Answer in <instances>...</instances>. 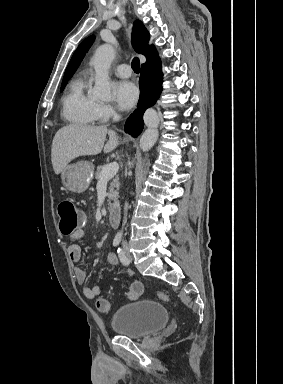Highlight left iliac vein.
Segmentation results:
<instances>
[{
	"mask_svg": "<svg viewBox=\"0 0 283 384\" xmlns=\"http://www.w3.org/2000/svg\"><path fill=\"white\" fill-rule=\"evenodd\" d=\"M125 254H126L127 265H128L132 261V257L127 248L125 249Z\"/></svg>",
	"mask_w": 283,
	"mask_h": 384,
	"instance_id": "obj_1",
	"label": "left iliac vein"
}]
</instances>
